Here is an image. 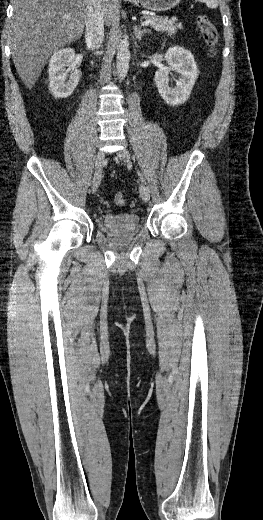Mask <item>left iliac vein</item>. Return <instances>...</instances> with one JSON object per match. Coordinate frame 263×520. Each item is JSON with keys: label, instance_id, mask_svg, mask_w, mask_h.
Segmentation results:
<instances>
[{"label": "left iliac vein", "instance_id": "1", "mask_svg": "<svg viewBox=\"0 0 263 520\" xmlns=\"http://www.w3.org/2000/svg\"><path fill=\"white\" fill-rule=\"evenodd\" d=\"M117 156L120 160H122L125 163H130L131 155L127 149H122L118 151ZM139 192L140 196L144 201H148L150 199V191L149 188L144 184L141 183L139 186Z\"/></svg>", "mask_w": 263, "mask_h": 520}]
</instances>
